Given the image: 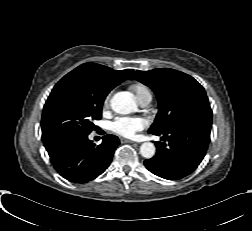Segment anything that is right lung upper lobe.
Here are the masks:
<instances>
[{"instance_id": "right-lung-upper-lobe-1", "label": "right lung upper lobe", "mask_w": 252, "mask_h": 231, "mask_svg": "<svg viewBox=\"0 0 252 231\" xmlns=\"http://www.w3.org/2000/svg\"><path fill=\"white\" fill-rule=\"evenodd\" d=\"M132 71L131 69L115 71L100 64L84 63L64 77L81 76L111 91L115 86L123 82Z\"/></svg>"}]
</instances>
